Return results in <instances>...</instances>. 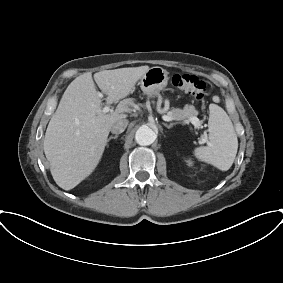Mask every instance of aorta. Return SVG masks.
<instances>
[{
	"instance_id": "obj_1",
	"label": "aorta",
	"mask_w": 283,
	"mask_h": 283,
	"mask_svg": "<svg viewBox=\"0 0 283 283\" xmlns=\"http://www.w3.org/2000/svg\"><path fill=\"white\" fill-rule=\"evenodd\" d=\"M156 138V133L147 125L140 126L135 134V140L141 146L151 145Z\"/></svg>"
}]
</instances>
